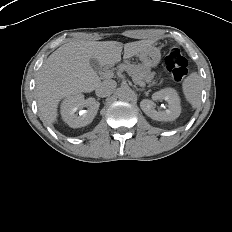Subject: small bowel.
<instances>
[{"label":"small bowel","mask_w":232,"mask_h":232,"mask_svg":"<svg viewBox=\"0 0 232 232\" xmlns=\"http://www.w3.org/2000/svg\"><path fill=\"white\" fill-rule=\"evenodd\" d=\"M155 76H156V77L151 76V77H149L148 80H147L148 85L151 86V87H154V86L157 85V83H158V80H157V79H159V80L164 79L165 76H166V72H165L164 69L159 68V69L156 70Z\"/></svg>","instance_id":"small-bowel-1"}]
</instances>
